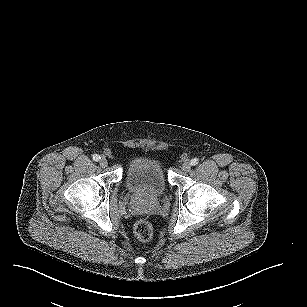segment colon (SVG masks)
<instances>
[{"label":"colon","instance_id":"colon-1","mask_svg":"<svg viewBox=\"0 0 307 307\" xmlns=\"http://www.w3.org/2000/svg\"><path fill=\"white\" fill-rule=\"evenodd\" d=\"M135 237L142 242H149L153 237L152 224L147 219H138L133 225Z\"/></svg>","mask_w":307,"mask_h":307}]
</instances>
